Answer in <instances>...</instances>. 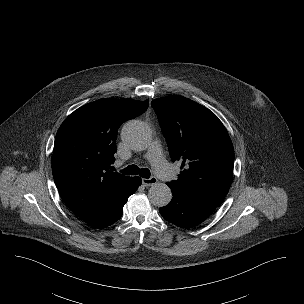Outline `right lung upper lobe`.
<instances>
[{
  "label": "right lung upper lobe",
  "instance_id": "right-lung-upper-lobe-1",
  "mask_svg": "<svg viewBox=\"0 0 304 304\" xmlns=\"http://www.w3.org/2000/svg\"><path fill=\"white\" fill-rule=\"evenodd\" d=\"M148 106V100L100 99L74 111L58 129L54 181L66 205L82 220L94 215L131 178L111 167L117 131Z\"/></svg>",
  "mask_w": 304,
  "mask_h": 304
}]
</instances>
